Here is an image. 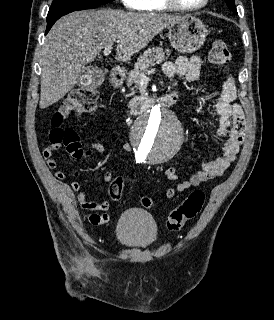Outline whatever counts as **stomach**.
Returning a JSON list of instances; mask_svg holds the SVG:
<instances>
[{"mask_svg": "<svg viewBox=\"0 0 274 320\" xmlns=\"http://www.w3.org/2000/svg\"><path fill=\"white\" fill-rule=\"evenodd\" d=\"M168 36L174 50L180 54H193L203 46L207 28L199 18L186 14L168 26Z\"/></svg>", "mask_w": 274, "mask_h": 320, "instance_id": "obj_1", "label": "stomach"}]
</instances>
